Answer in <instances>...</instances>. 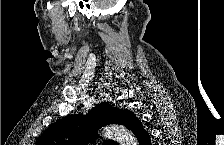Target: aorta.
<instances>
[{
  "instance_id": "obj_1",
  "label": "aorta",
  "mask_w": 224,
  "mask_h": 145,
  "mask_svg": "<svg viewBox=\"0 0 224 145\" xmlns=\"http://www.w3.org/2000/svg\"><path fill=\"white\" fill-rule=\"evenodd\" d=\"M102 135L118 142L120 145H137V140L134 135L124 126L110 125L104 128Z\"/></svg>"
}]
</instances>
